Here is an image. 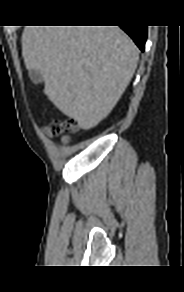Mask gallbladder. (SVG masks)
Returning a JSON list of instances; mask_svg holds the SVG:
<instances>
[{"label":"gallbladder","instance_id":"gallbladder-1","mask_svg":"<svg viewBox=\"0 0 184 292\" xmlns=\"http://www.w3.org/2000/svg\"><path fill=\"white\" fill-rule=\"evenodd\" d=\"M29 77L34 84H39L40 82L43 81V76L38 70L34 69L30 70Z\"/></svg>","mask_w":184,"mask_h":292}]
</instances>
